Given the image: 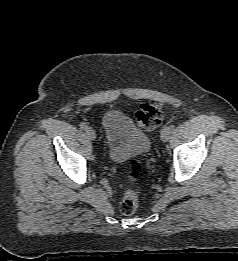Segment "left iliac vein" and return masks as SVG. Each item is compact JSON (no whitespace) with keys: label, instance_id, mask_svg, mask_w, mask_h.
I'll return each mask as SVG.
<instances>
[{"label":"left iliac vein","instance_id":"4c4485c4","mask_svg":"<svg viewBox=\"0 0 238 261\" xmlns=\"http://www.w3.org/2000/svg\"><path fill=\"white\" fill-rule=\"evenodd\" d=\"M172 131L170 130L169 126L165 127L162 131H161V140L163 142H167L171 136Z\"/></svg>","mask_w":238,"mask_h":261}]
</instances>
